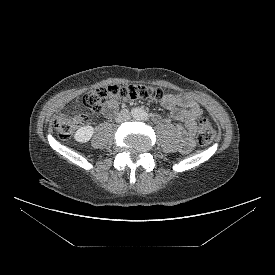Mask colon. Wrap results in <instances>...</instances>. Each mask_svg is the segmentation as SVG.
I'll return each mask as SVG.
<instances>
[{
  "label": "colon",
  "instance_id": "colon-1",
  "mask_svg": "<svg viewBox=\"0 0 275 275\" xmlns=\"http://www.w3.org/2000/svg\"><path fill=\"white\" fill-rule=\"evenodd\" d=\"M165 97L164 92L157 87L146 85H109L97 88L83 99V105L91 111H99L106 103L115 100L119 103L134 102L142 99L160 101ZM88 117L83 114L60 113L58 114L53 125L61 139H69L75 130L87 123ZM197 141L200 146H207L215 138V131L209 120L205 117L199 118L197 121Z\"/></svg>",
  "mask_w": 275,
  "mask_h": 275
}]
</instances>
